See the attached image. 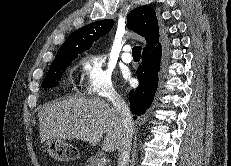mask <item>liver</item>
<instances>
[{"label":"liver","instance_id":"6515ba94","mask_svg":"<svg viewBox=\"0 0 231 166\" xmlns=\"http://www.w3.org/2000/svg\"><path fill=\"white\" fill-rule=\"evenodd\" d=\"M41 142L78 139L106 152L120 149L123 123L109 103L97 98L72 97L45 105L38 113ZM103 135H106L103 139Z\"/></svg>","mask_w":231,"mask_h":166}]
</instances>
